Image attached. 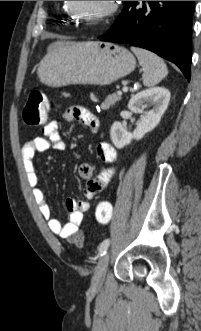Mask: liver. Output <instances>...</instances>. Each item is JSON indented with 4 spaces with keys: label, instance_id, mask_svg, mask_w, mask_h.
<instances>
[{
    "label": "liver",
    "instance_id": "obj_1",
    "mask_svg": "<svg viewBox=\"0 0 201 331\" xmlns=\"http://www.w3.org/2000/svg\"><path fill=\"white\" fill-rule=\"evenodd\" d=\"M58 43H61V42H55V43H53V44H58ZM53 44H51V45H53ZM51 45H50V46H51ZM50 46H49V47H50Z\"/></svg>",
    "mask_w": 201,
    "mask_h": 331
}]
</instances>
